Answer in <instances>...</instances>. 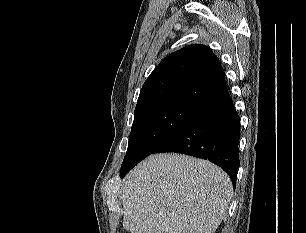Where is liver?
Listing matches in <instances>:
<instances>
[{"label":"liver","mask_w":306,"mask_h":233,"mask_svg":"<svg viewBox=\"0 0 306 233\" xmlns=\"http://www.w3.org/2000/svg\"><path fill=\"white\" fill-rule=\"evenodd\" d=\"M124 228L131 233H214L233 194L215 164L182 154H154L122 188Z\"/></svg>","instance_id":"obj_1"}]
</instances>
